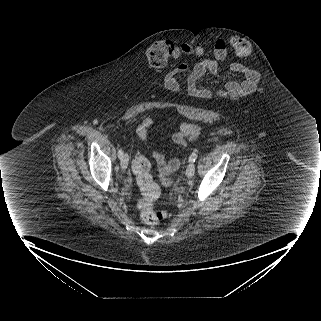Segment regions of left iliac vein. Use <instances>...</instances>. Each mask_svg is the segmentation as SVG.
I'll return each instance as SVG.
<instances>
[{"mask_svg": "<svg viewBox=\"0 0 321 321\" xmlns=\"http://www.w3.org/2000/svg\"><path fill=\"white\" fill-rule=\"evenodd\" d=\"M194 173H195V165L193 162L189 163V165L187 166V169H186V175L189 177V178H192L194 176Z\"/></svg>", "mask_w": 321, "mask_h": 321, "instance_id": "obj_1", "label": "left iliac vein"}]
</instances>
